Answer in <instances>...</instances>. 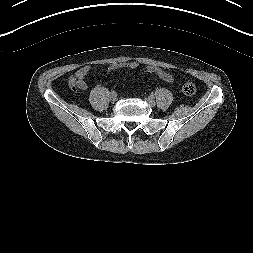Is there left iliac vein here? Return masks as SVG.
<instances>
[{"label":"left iliac vein","instance_id":"1","mask_svg":"<svg viewBox=\"0 0 253 253\" xmlns=\"http://www.w3.org/2000/svg\"><path fill=\"white\" fill-rule=\"evenodd\" d=\"M147 101H148V103L150 104V105H152V106H154L155 105V101L150 97V98H148V99H146Z\"/></svg>","mask_w":253,"mask_h":253}]
</instances>
